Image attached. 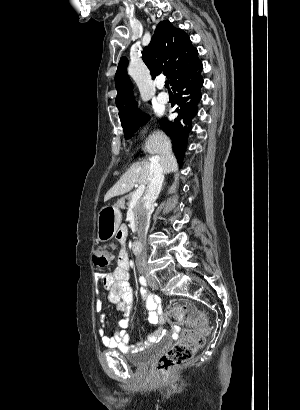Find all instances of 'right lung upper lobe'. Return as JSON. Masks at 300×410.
Returning a JSON list of instances; mask_svg holds the SVG:
<instances>
[{
    "mask_svg": "<svg viewBox=\"0 0 300 410\" xmlns=\"http://www.w3.org/2000/svg\"><path fill=\"white\" fill-rule=\"evenodd\" d=\"M142 59L153 78L163 73L172 85L198 59V52L182 29L173 27L165 20L156 27L150 44L142 52ZM127 64L128 60L122 57L115 74L116 105L121 123L132 119L140 111L131 97L132 86L126 72Z\"/></svg>",
    "mask_w": 300,
    "mask_h": 410,
    "instance_id": "cb5924a9",
    "label": "right lung upper lobe"
}]
</instances>
